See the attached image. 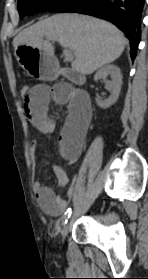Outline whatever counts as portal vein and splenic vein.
<instances>
[{"mask_svg":"<svg viewBox=\"0 0 148 279\" xmlns=\"http://www.w3.org/2000/svg\"><path fill=\"white\" fill-rule=\"evenodd\" d=\"M63 55H64L65 59L69 62L73 61V59H74L73 53L70 49L65 48L63 50Z\"/></svg>","mask_w":148,"mask_h":279,"instance_id":"1","label":"portal vein and splenic vein"}]
</instances>
